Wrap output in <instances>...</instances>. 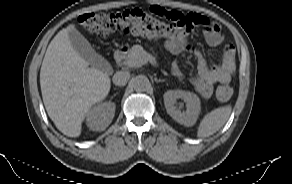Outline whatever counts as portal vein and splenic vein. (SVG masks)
Wrapping results in <instances>:
<instances>
[{
    "instance_id": "18ae733b",
    "label": "portal vein and splenic vein",
    "mask_w": 292,
    "mask_h": 184,
    "mask_svg": "<svg viewBox=\"0 0 292 184\" xmlns=\"http://www.w3.org/2000/svg\"><path fill=\"white\" fill-rule=\"evenodd\" d=\"M152 62V63H156L155 58L149 54L144 55V57L140 60V63L138 64V66L144 65L147 62Z\"/></svg>"
}]
</instances>
